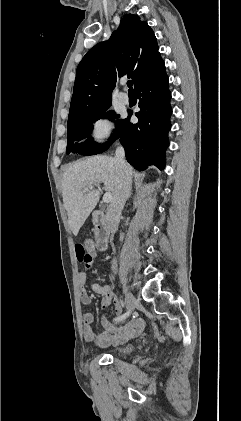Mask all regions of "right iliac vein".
<instances>
[{"mask_svg":"<svg viewBox=\"0 0 241 421\" xmlns=\"http://www.w3.org/2000/svg\"><path fill=\"white\" fill-rule=\"evenodd\" d=\"M137 303L136 298L131 294V293H127L126 294V304H127V311L129 312V314L132 313V311L135 308V305Z\"/></svg>","mask_w":241,"mask_h":421,"instance_id":"obj_1","label":"right iliac vein"}]
</instances>
